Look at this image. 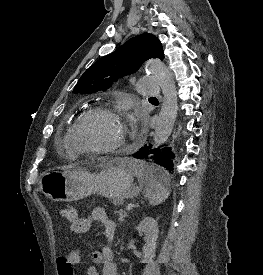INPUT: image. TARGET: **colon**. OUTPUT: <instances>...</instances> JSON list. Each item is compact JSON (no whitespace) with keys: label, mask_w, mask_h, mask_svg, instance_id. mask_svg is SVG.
<instances>
[{"label":"colon","mask_w":263,"mask_h":275,"mask_svg":"<svg viewBox=\"0 0 263 275\" xmlns=\"http://www.w3.org/2000/svg\"><path fill=\"white\" fill-rule=\"evenodd\" d=\"M62 216L69 222H74L78 219L77 209L73 206H66L62 210ZM80 253L73 251L67 256H62L57 259V267L59 275H74V266L80 261Z\"/></svg>","instance_id":"1"}]
</instances>
